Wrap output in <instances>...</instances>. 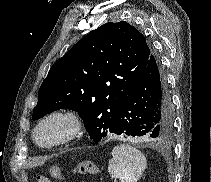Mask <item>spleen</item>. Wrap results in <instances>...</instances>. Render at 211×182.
Segmentation results:
<instances>
[{
  "label": "spleen",
  "instance_id": "spleen-1",
  "mask_svg": "<svg viewBox=\"0 0 211 182\" xmlns=\"http://www.w3.org/2000/svg\"><path fill=\"white\" fill-rule=\"evenodd\" d=\"M147 167L144 154L128 144H119L112 150L108 172L121 182H137Z\"/></svg>",
  "mask_w": 211,
  "mask_h": 182
}]
</instances>
